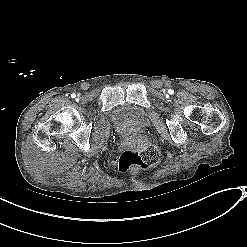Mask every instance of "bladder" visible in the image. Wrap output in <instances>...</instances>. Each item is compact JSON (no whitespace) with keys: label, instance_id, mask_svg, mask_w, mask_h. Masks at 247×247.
<instances>
[{"label":"bladder","instance_id":"31cf9c89","mask_svg":"<svg viewBox=\"0 0 247 247\" xmlns=\"http://www.w3.org/2000/svg\"><path fill=\"white\" fill-rule=\"evenodd\" d=\"M112 128L122 139L128 140L137 131L149 124V112L135 103L125 102L112 107L108 111Z\"/></svg>","mask_w":247,"mask_h":247}]
</instances>
